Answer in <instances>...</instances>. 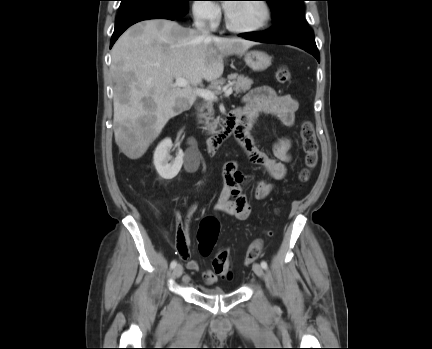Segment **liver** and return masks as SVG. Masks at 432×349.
Wrapping results in <instances>:
<instances>
[{"label": "liver", "mask_w": 432, "mask_h": 349, "mask_svg": "<svg viewBox=\"0 0 432 349\" xmlns=\"http://www.w3.org/2000/svg\"><path fill=\"white\" fill-rule=\"evenodd\" d=\"M255 44L204 36L163 19L144 21L125 31L112 48L110 68L119 149L130 159L143 156L167 122L192 106L195 88L203 80L221 77L224 57L243 54ZM177 76L188 85L176 87Z\"/></svg>", "instance_id": "liver-1"}]
</instances>
